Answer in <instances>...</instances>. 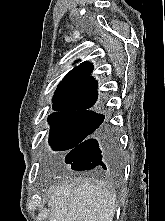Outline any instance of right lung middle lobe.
Returning a JSON list of instances; mask_svg holds the SVG:
<instances>
[{
	"mask_svg": "<svg viewBox=\"0 0 165 221\" xmlns=\"http://www.w3.org/2000/svg\"><path fill=\"white\" fill-rule=\"evenodd\" d=\"M104 121L98 113L56 112L48 117L49 143L55 151L70 150L84 141Z\"/></svg>",
	"mask_w": 165,
	"mask_h": 221,
	"instance_id": "obj_1",
	"label": "right lung middle lobe"
}]
</instances>
